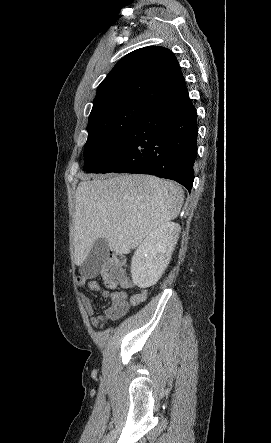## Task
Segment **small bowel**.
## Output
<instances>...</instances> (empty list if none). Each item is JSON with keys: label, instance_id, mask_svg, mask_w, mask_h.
<instances>
[{"label": "small bowel", "instance_id": "small-bowel-1", "mask_svg": "<svg viewBox=\"0 0 271 443\" xmlns=\"http://www.w3.org/2000/svg\"><path fill=\"white\" fill-rule=\"evenodd\" d=\"M77 283L80 288L99 292L102 296L109 298L111 304L101 313L96 314V308L93 301L81 294L82 304L90 317V323L94 327H103L109 321H115L127 314L131 305H138L145 299V292H140L131 297L128 301V294L125 291L109 292L103 289L96 280L78 277Z\"/></svg>", "mask_w": 271, "mask_h": 443}]
</instances>
